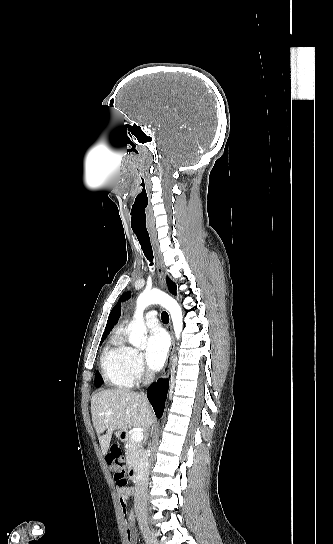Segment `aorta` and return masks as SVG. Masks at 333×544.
Listing matches in <instances>:
<instances>
[{
    "mask_svg": "<svg viewBox=\"0 0 333 544\" xmlns=\"http://www.w3.org/2000/svg\"><path fill=\"white\" fill-rule=\"evenodd\" d=\"M151 304H160L169 311L176 338L179 339L181 335L183 328L182 310L177 301L168 294L157 289L145 291L137 298L134 322L129 336L130 344L137 348H142L143 338L146 332L143 312L145 308Z\"/></svg>",
    "mask_w": 333,
    "mask_h": 544,
    "instance_id": "aorta-1",
    "label": "aorta"
}]
</instances>
